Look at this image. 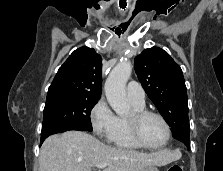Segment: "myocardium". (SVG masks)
Returning a JSON list of instances; mask_svg holds the SVG:
<instances>
[{"label":"myocardium","instance_id":"f54148a6","mask_svg":"<svg viewBox=\"0 0 223 171\" xmlns=\"http://www.w3.org/2000/svg\"><path fill=\"white\" fill-rule=\"evenodd\" d=\"M147 116H155L159 118L162 123L164 124L166 128V138L164 142L159 146H149L147 145L141 138L140 132H139V126L142 120ZM127 127L130 133V136L134 140L136 144H138L141 148L148 149V150H159L164 148L171 138V128L166 120V118L159 112L148 110V109H142V110H133V112L126 118Z\"/></svg>","mask_w":223,"mask_h":171}]
</instances>
